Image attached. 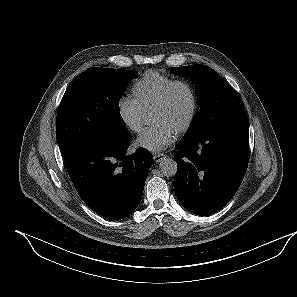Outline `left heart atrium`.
Here are the masks:
<instances>
[{
    "instance_id": "1",
    "label": "left heart atrium",
    "mask_w": 297,
    "mask_h": 297,
    "mask_svg": "<svg viewBox=\"0 0 297 297\" xmlns=\"http://www.w3.org/2000/svg\"><path fill=\"white\" fill-rule=\"evenodd\" d=\"M176 132L164 123H154L147 128L136 140L140 148L152 152H158L171 145Z\"/></svg>"
}]
</instances>
